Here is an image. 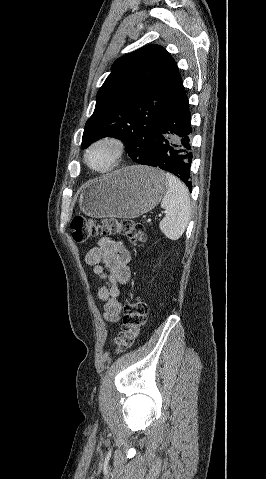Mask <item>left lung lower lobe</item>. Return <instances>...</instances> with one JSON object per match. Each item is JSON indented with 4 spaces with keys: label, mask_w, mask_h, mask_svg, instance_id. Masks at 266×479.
<instances>
[{
    "label": "left lung lower lobe",
    "mask_w": 266,
    "mask_h": 479,
    "mask_svg": "<svg viewBox=\"0 0 266 479\" xmlns=\"http://www.w3.org/2000/svg\"><path fill=\"white\" fill-rule=\"evenodd\" d=\"M188 98L180 88L162 117L149 160L144 165L161 168L179 177L192 191L193 159Z\"/></svg>",
    "instance_id": "0a47b994"
}]
</instances>
